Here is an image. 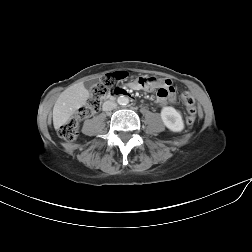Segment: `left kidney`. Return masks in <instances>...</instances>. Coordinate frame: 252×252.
<instances>
[{
  "label": "left kidney",
  "mask_w": 252,
  "mask_h": 252,
  "mask_svg": "<svg viewBox=\"0 0 252 252\" xmlns=\"http://www.w3.org/2000/svg\"><path fill=\"white\" fill-rule=\"evenodd\" d=\"M161 119L164 125L173 132H180L184 129L182 116L173 107H164L161 110Z\"/></svg>",
  "instance_id": "1"
}]
</instances>
